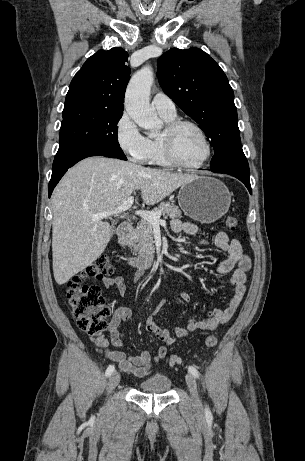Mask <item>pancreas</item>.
<instances>
[{"mask_svg": "<svg viewBox=\"0 0 305 461\" xmlns=\"http://www.w3.org/2000/svg\"><path fill=\"white\" fill-rule=\"evenodd\" d=\"M152 212H161L165 217L181 218L180 209L171 202H162ZM125 246L129 247L131 252L140 257L150 256L154 253L153 226L152 223L142 219L137 227L131 231L129 238L125 241Z\"/></svg>", "mask_w": 305, "mask_h": 461, "instance_id": "cf45deb5", "label": "pancreas"}]
</instances>
